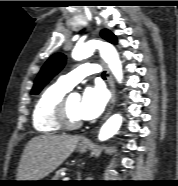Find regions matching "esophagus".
Wrapping results in <instances>:
<instances>
[{"label":"esophagus","mask_w":178,"mask_h":186,"mask_svg":"<svg viewBox=\"0 0 178 186\" xmlns=\"http://www.w3.org/2000/svg\"><path fill=\"white\" fill-rule=\"evenodd\" d=\"M105 67H106V70H107V79H108V83H109V87H110V91H111V99H110V102L108 104V108H107V112L104 116V120H106L108 118V116L111 114L112 109H113L114 104H115V100H116L114 81H113V78H112V75H111L109 69L107 68L106 65H105Z\"/></svg>","instance_id":"obj_1"}]
</instances>
